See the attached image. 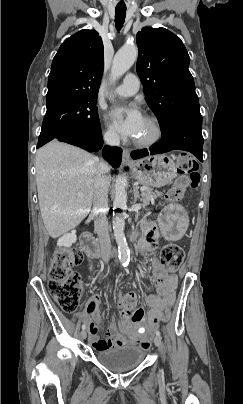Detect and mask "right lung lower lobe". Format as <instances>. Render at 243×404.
<instances>
[{
  "instance_id": "98d812e1",
  "label": "right lung lower lobe",
  "mask_w": 243,
  "mask_h": 404,
  "mask_svg": "<svg viewBox=\"0 0 243 404\" xmlns=\"http://www.w3.org/2000/svg\"><path fill=\"white\" fill-rule=\"evenodd\" d=\"M54 139L81 147L89 152H98L103 146L101 131L93 132L78 128H67L58 133ZM103 156L112 167L117 168L121 163L122 149L105 146Z\"/></svg>"
}]
</instances>
